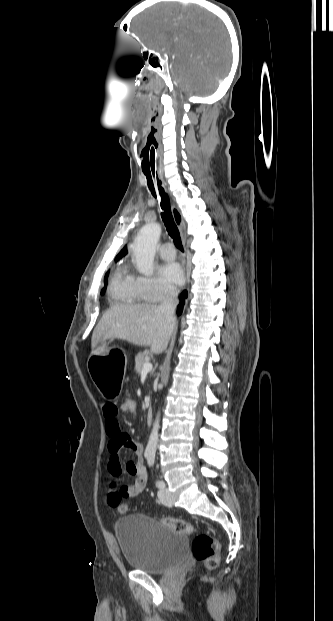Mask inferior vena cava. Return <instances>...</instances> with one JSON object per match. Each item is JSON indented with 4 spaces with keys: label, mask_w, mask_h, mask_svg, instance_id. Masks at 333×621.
Instances as JSON below:
<instances>
[{
    "label": "inferior vena cava",
    "mask_w": 333,
    "mask_h": 621,
    "mask_svg": "<svg viewBox=\"0 0 333 621\" xmlns=\"http://www.w3.org/2000/svg\"><path fill=\"white\" fill-rule=\"evenodd\" d=\"M178 293L179 290L177 288H170L165 293L163 301L160 305V309L165 313L168 318V321L172 324H176L175 318V309L178 304Z\"/></svg>",
    "instance_id": "1"
}]
</instances>
